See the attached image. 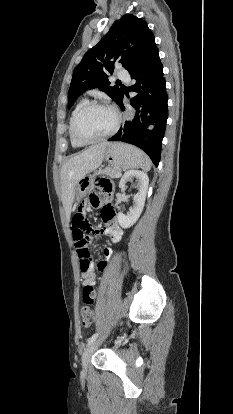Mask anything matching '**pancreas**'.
Returning a JSON list of instances; mask_svg holds the SVG:
<instances>
[{
  "instance_id": "pancreas-1",
  "label": "pancreas",
  "mask_w": 233,
  "mask_h": 414,
  "mask_svg": "<svg viewBox=\"0 0 233 414\" xmlns=\"http://www.w3.org/2000/svg\"><path fill=\"white\" fill-rule=\"evenodd\" d=\"M99 173L105 174L111 178H118L121 176L119 175L121 173V169L118 167H107L103 170H100Z\"/></svg>"
}]
</instances>
